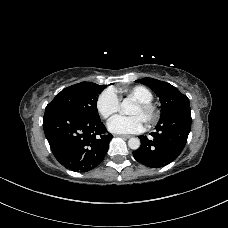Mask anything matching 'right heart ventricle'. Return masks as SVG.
Masks as SVG:
<instances>
[{
    "mask_svg": "<svg viewBox=\"0 0 228 228\" xmlns=\"http://www.w3.org/2000/svg\"><path fill=\"white\" fill-rule=\"evenodd\" d=\"M120 94L125 93L126 96L134 102H152L153 93L145 86L137 85L125 91L118 90Z\"/></svg>",
    "mask_w": 228,
    "mask_h": 228,
    "instance_id": "obj_1",
    "label": "right heart ventricle"
}]
</instances>
